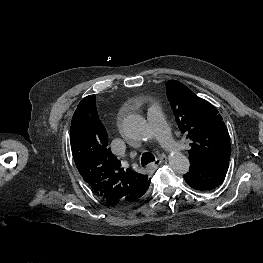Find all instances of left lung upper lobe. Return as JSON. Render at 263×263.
<instances>
[{
	"label": "left lung upper lobe",
	"mask_w": 263,
	"mask_h": 263,
	"mask_svg": "<svg viewBox=\"0 0 263 263\" xmlns=\"http://www.w3.org/2000/svg\"><path fill=\"white\" fill-rule=\"evenodd\" d=\"M166 88L178 127L191 142L190 162H229L230 137L217 109L181 82L170 80Z\"/></svg>",
	"instance_id": "left-lung-upper-lobe-1"
}]
</instances>
